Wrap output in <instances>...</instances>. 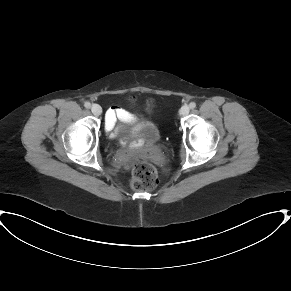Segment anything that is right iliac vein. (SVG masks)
I'll list each match as a JSON object with an SVG mask.
<instances>
[{
	"label": "right iliac vein",
	"instance_id": "63e3f726",
	"mask_svg": "<svg viewBox=\"0 0 291 291\" xmlns=\"http://www.w3.org/2000/svg\"><path fill=\"white\" fill-rule=\"evenodd\" d=\"M91 111L95 116H99L102 113V108L98 104H93L91 106Z\"/></svg>",
	"mask_w": 291,
	"mask_h": 291
}]
</instances>
